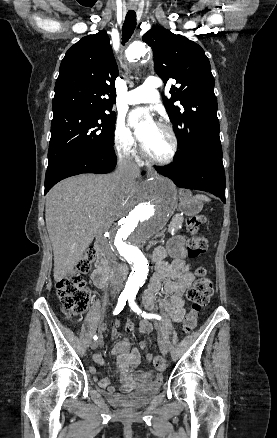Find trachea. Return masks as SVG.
Wrapping results in <instances>:
<instances>
[{
	"mask_svg": "<svg viewBox=\"0 0 277 438\" xmlns=\"http://www.w3.org/2000/svg\"><path fill=\"white\" fill-rule=\"evenodd\" d=\"M136 28V13L134 10H129L126 14L125 21L123 23L122 28V44L124 45L132 34L134 33V30Z\"/></svg>",
	"mask_w": 277,
	"mask_h": 438,
	"instance_id": "trachea-1",
	"label": "trachea"
}]
</instances>
